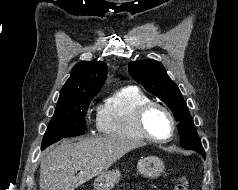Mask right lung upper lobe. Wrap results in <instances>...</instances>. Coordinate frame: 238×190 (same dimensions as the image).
Wrapping results in <instances>:
<instances>
[{
    "instance_id": "obj_1",
    "label": "right lung upper lobe",
    "mask_w": 238,
    "mask_h": 190,
    "mask_svg": "<svg viewBox=\"0 0 238 190\" xmlns=\"http://www.w3.org/2000/svg\"><path fill=\"white\" fill-rule=\"evenodd\" d=\"M107 66L100 61L77 63L61 89L58 102L68 101L81 94H97L104 84Z\"/></svg>"
}]
</instances>
